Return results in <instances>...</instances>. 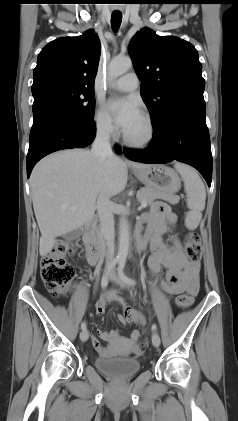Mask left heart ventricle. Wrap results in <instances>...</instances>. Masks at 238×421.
<instances>
[{"label": "left heart ventricle", "instance_id": "1", "mask_svg": "<svg viewBox=\"0 0 238 421\" xmlns=\"http://www.w3.org/2000/svg\"><path fill=\"white\" fill-rule=\"evenodd\" d=\"M124 132L132 140L144 139L147 135V126L142 116L140 115V117L132 125L125 129Z\"/></svg>", "mask_w": 238, "mask_h": 421}]
</instances>
